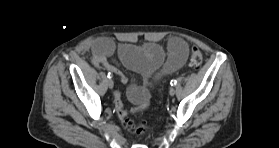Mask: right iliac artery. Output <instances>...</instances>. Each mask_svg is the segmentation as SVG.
I'll list each match as a JSON object with an SVG mask.
<instances>
[{"label":"right iliac artery","instance_id":"right-iliac-artery-1","mask_svg":"<svg viewBox=\"0 0 279 148\" xmlns=\"http://www.w3.org/2000/svg\"><path fill=\"white\" fill-rule=\"evenodd\" d=\"M107 77H108V78H112L113 75L109 72L108 75H107Z\"/></svg>","mask_w":279,"mask_h":148}]
</instances>
